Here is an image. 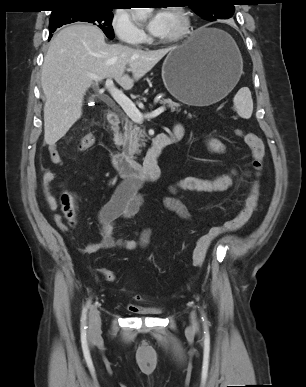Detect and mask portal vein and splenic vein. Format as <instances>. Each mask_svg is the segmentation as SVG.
<instances>
[{"label":"portal vein and splenic vein","mask_w":306,"mask_h":387,"mask_svg":"<svg viewBox=\"0 0 306 387\" xmlns=\"http://www.w3.org/2000/svg\"><path fill=\"white\" fill-rule=\"evenodd\" d=\"M95 81H101L102 79L94 76ZM105 87L108 89L112 98L120 105L126 115L135 123H142L144 119L154 118L165 111L164 107H159L154 111L142 114L136 105L119 89H117L111 78H108L105 82Z\"/></svg>","instance_id":"obj_1"}]
</instances>
